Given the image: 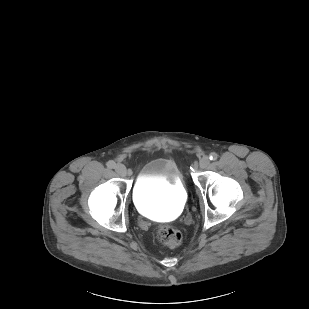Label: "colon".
Returning <instances> with one entry per match:
<instances>
[{
	"label": "colon",
	"mask_w": 309,
	"mask_h": 309,
	"mask_svg": "<svg viewBox=\"0 0 309 309\" xmlns=\"http://www.w3.org/2000/svg\"><path fill=\"white\" fill-rule=\"evenodd\" d=\"M158 240L169 248H175L180 245L182 241V233L173 226H161L157 231Z\"/></svg>",
	"instance_id": "colon-1"
}]
</instances>
